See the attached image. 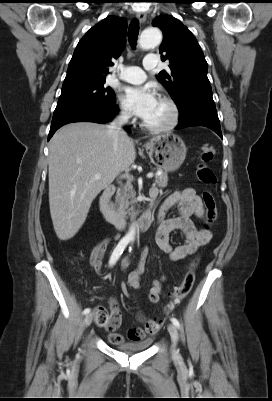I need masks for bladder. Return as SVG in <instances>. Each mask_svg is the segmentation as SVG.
<instances>
[{
    "instance_id": "bladder-1",
    "label": "bladder",
    "mask_w": 272,
    "mask_h": 401,
    "mask_svg": "<svg viewBox=\"0 0 272 401\" xmlns=\"http://www.w3.org/2000/svg\"><path fill=\"white\" fill-rule=\"evenodd\" d=\"M152 343L151 339H147L138 343H122L118 345V349L127 353H137L147 349Z\"/></svg>"
}]
</instances>
